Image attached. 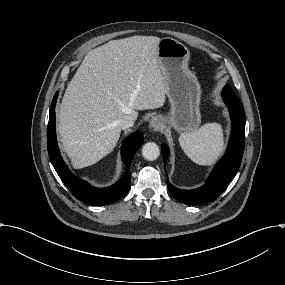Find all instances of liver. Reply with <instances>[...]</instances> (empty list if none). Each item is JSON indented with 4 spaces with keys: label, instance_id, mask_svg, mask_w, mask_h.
I'll list each match as a JSON object with an SVG mask.
<instances>
[{
    "label": "liver",
    "instance_id": "1",
    "mask_svg": "<svg viewBox=\"0 0 285 285\" xmlns=\"http://www.w3.org/2000/svg\"><path fill=\"white\" fill-rule=\"evenodd\" d=\"M156 36H132L90 50L64 93L58 131L75 169L93 165L116 146L118 122L165 103Z\"/></svg>",
    "mask_w": 285,
    "mask_h": 285
}]
</instances>
